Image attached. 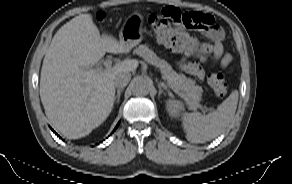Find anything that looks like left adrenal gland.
Here are the masks:
<instances>
[{
    "instance_id": "left-adrenal-gland-1",
    "label": "left adrenal gland",
    "mask_w": 292,
    "mask_h": 184,
    "mask_svg": "<svg viewBox=\"0 0 292 184\" xmlns=\"http://www.w3.org/2000/svg\"><path fill=\"white\" fill-rule=\"evenodd\" d=\"M159 93L158 96L160 97L162 94L166 95V93L163 91L162 86L160 83H158Z\"/></svg>"
}]
</instances>
